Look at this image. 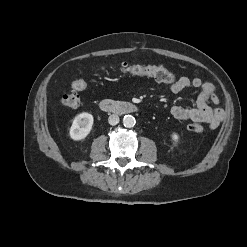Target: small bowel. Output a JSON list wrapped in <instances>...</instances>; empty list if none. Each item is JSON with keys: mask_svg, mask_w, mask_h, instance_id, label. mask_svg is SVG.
<instances>
[{"mask_svg": "<svg viewBox=\"0 0 247 247\" xmlns=\"http://www.w3.org/2000/svg\"><path fill=\"white\" fill-rule=\"evenodd\" d=\"M187 88H195L199 91L196 105L194 107L173 106L171 115L178 120L207 124L210 129H216L224 118V112L218 106H210V102L215 105L219 103L214 85L201 78H189L186 76H182L176 82L169 84V89L172 93H179Z\"/></svg>", "mask_w": 247, "mask_h": 247, "instance_id": "c3829d8e", "label": "small bowel"}]
</instances>
